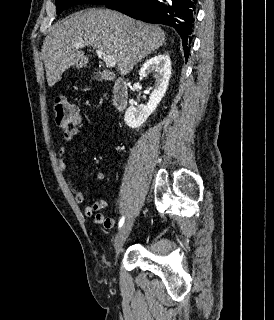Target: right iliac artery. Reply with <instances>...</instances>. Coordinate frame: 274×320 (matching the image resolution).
<instances>
[{
	"label": "right iliac artery",
	"mask_w": 274,
	"mask_h": 320,
	"mask_svg": "<svg viewBox=\"0 0 274 320\" xmlns=\"http://www.w3.org/2000/svg\"><path fill=\"white\" fill-rule=\"evenodd\" d=\"M123 223H124V217H122L118 223V227H122L123 226Z\"/></svg>",
	"instance_id": "82829eb1"
}]
</instances>
